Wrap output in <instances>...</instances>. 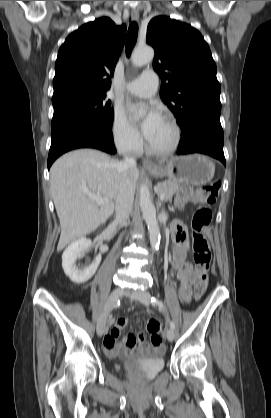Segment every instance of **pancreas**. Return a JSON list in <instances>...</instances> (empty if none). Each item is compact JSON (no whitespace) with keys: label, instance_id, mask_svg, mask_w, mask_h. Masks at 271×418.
<instances>
[{"label":"pancreas","instance_id":"cf45deb5","mask_svg":"<svg viewBox=\"0 0 271 418\" xmlns=\"http://www.w3.org/2000/svg\"><path fill=\"white\" fill-rule=\"evenodd\" d=\"M180 184L175 181H165L156 185L155 190L158 195L164 194L165 201L172 199L173 195L177 192Z\"/></svg>","mask_w":271,"mask_h":418}]
</instances>
